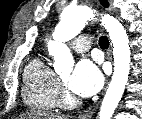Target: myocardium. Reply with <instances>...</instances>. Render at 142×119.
<instances>
[{
	"label": "myocardium",
	"instance_id": "myocardium-1",
	"mask_svg": "<svg viewBox=\"0 0 142 119\" xmlns=\"http://www.w3.org/2000/svg\"><path fill=\"white\" fill-rule=\"evenodd\" d=\"M58 104L65 108H74L79 104V100L70 93L63 80L59 82Z\"/></svg>",
	"mask_w": 142,
	"mask_h": 119
}]
</instances>
